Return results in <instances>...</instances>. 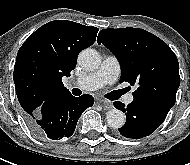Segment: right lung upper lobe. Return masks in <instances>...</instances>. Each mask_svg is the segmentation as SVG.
I'll list each match as a JSON object with an SVG mask.
<instances>
[{
  "label": "right lung upper lobe",
  "mask_w": 190,
  "mask_h": 165,
  "mask_svg": "<svg viewBox=\"0 0 190 165\" xmlns=\"http://www.w3.org/2000/svg\"><path fill=\"white\" fill-rule=\"evenodd\" d=\"M98 28L65 20L51 21L23 43L13 79L23 113H33L52 95L68 92L62 83L70 76L79 52L96 41Z\"/></svg>",
  "instance_id": "right-lung-upper-lobe-1"
}]
</instances>
